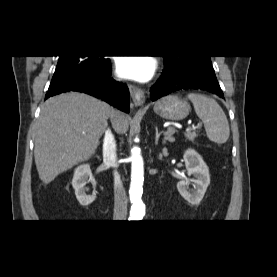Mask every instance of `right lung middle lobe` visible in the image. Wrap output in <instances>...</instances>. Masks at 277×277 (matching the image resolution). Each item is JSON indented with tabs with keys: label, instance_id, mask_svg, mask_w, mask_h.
<instances>
[{
	"label": "right lung middle lobe",
	"instance_id": "obj_1",
	"mask_svg": "<svg viewBox=\"0 0 277 277\" xmlns=\"http://www.w3.org/2000/svg\"><path fill=\"white\" fill-rule=\"evenodd\" d=\"M110 60L98 56H59L50 89L91 78Z\"/></svg>",
	"mask_w": 277,
	"mask_h": 277
}]
</instances>
